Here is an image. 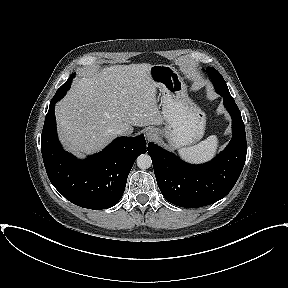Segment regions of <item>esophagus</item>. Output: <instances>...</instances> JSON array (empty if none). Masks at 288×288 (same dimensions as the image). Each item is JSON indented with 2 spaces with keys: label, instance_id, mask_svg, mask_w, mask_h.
<instances>
[{
  "label": "esophagus",
  "instance_id": "obj_1",
  "mask_svg": "<svg viewBox=\"0 0 288 288\" xmlns=\"http://www.w3.org/2000/svg\"><path fill=\"white\" fill-rule=\"evenodd\" d=\"M145 136L147 141H150L155 136V134L153 131H147Z\"/></svg>",
  "mask_w": 288,
  "mask_h": 288
}]
</instances>
